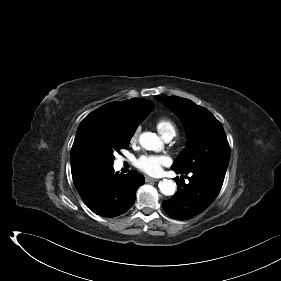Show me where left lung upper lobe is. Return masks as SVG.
Instances as JSON below:
<instances>
[{
  "label": "left lung upper lobe",
  "instance_id": "5c2ea615",
  "mask_svg": "<svg viewBox=\"0 0 281 281\" xmlns=\"http://www.w3.org/2000/svg\"><path fill=\"white\" fill-rule=\"evenodd\" d=\"M185 125L188 145L172 169L185 172L207 167L227 169L230 147L222 124L207 109L177 96H157Z\"/></svg>",
  "mask_w": 281,
  "mask_h": 281
}]
</instances>
